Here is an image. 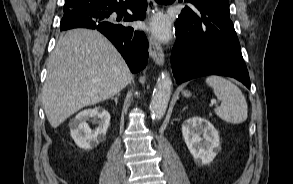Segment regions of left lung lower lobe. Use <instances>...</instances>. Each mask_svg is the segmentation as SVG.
I'll return each mask as SVG.
<instances>
[{"label": "left lung lower lobe", "mask_w": 293, "mask_h": 184, "mask_svg": "<svg viewBox=\"0 0 293 184\" xmlns=\"http://www.w3.org/2000/svg\"><path fill=\"white\" fill-rule=\"evenodd\" d=\"M185 7L175 23L171 65L177 83L204 75L236 78L250 89V78L229 12L205 4Z\"/></svg>", "instance_id": "left-lung-lower-lobe-1"}]
</instances>
